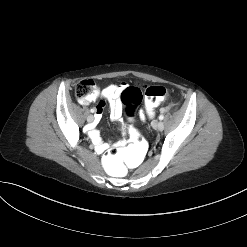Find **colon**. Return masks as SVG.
I'll return each instance as SVG.
<instances>
[{
	"label": "colon",
	"instance_id": "colon-1",
	"mask_svg": "<svg viewBox=\"0 0 247 247\" xmlns=\"http://www.w3.org/2000/svg\"><path fill=\"white\" fill-rule=\"evenodd\" d=\"M92 92V82L81 81L75 88L77 98L83 100ZM168 95V91L163 86H150L144 92V97L149 108H152L164 100ZM142 99V93L137 87L126 88L120 97L122 110L132 115L136 106ZM124 134L131 141L120 149V151L111 150L103 154L101 165L103 169L111 176L126 177L133 173L140 164L146 159L150 147L146 140L142 139L138 131L129 124Z\"/></svg>",
	"mask_w": 247,
	"mask_h": 247
}]
</instances>
